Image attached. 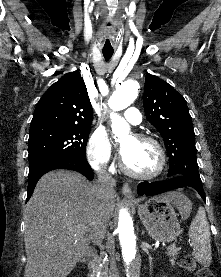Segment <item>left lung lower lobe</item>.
I'll list each match as a JSON object with an SVG mask.
<instances>
[{
	"label": "left lung lower lobe",
	"mask_w": 221,
	"mask_h": 277,
	"mask_svg": "<svg viewBox=\"0 0 221 277\" xmlns=\"http://www.w3.org/2000/svg\"><path fill=\"white\" fill-rule=\"evenodd\" d=\"M181 187L194 188L205 201V193L201 179L188 176H174L165 181H156L152 183L142 182L138 185L137 190L139 195L153 196Z\"/></svg>",
	"instance_id": "left-lung-lower-lobe-1"
}]
</instances>
